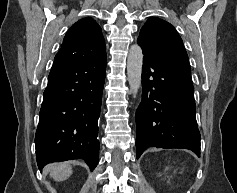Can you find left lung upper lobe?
I'll return each instance as SVG.
<instances>
[{
	"label": "left lung upper lobe",
	"mask_w": 237,
	"mask_h": 193,
	"mask_svg": "<svg viewBox=\"0 0 237 193\" xmlns=\"http://www.w3.org/2000/svg\"><path fill=\"white\" fill-rule=\"evenodd\" d=\"M138 44L143 52L191 73L182 39L167 21L156 17L149 18L141 28Z\"/></svg>",
	"instance_id": "5c2ea615"
}]
</instances>
